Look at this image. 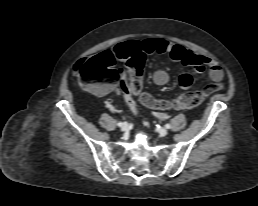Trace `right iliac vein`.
<instances>
[{"mask_svg": "<svg viewBox=\"0 0 258 206\" xmlns=\"http://www.w3.org/2000/svg\"><path fill=\"white\" fill-rule=\"evenodd\" d=\"M121 130L122 131H127L128 130V124L126 122L122 124Z\"/></svg>", "mask_w": 258, "mask_h": 206, "instance_id": "obj_1", "label": "right iliac vein"}]
</instances>
